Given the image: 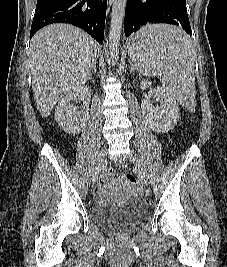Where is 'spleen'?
<instances>
[{"mask_svg": "<svg viewBox=\"0 0 227 267\" xmlns=\"http://www.w3.org/2000/svg\"><path fill=\"white\" fill-rule=\"evenodd\" d=\"M129 43V63H135L140 77H159L170 94L192 108L195 56L188 35L171 22H154L134 31Z\"/></svg>", "mask_w": 227, "mask_h": 267, "instance_id": "obj_1", "label": "spleen"}]
</instances>
